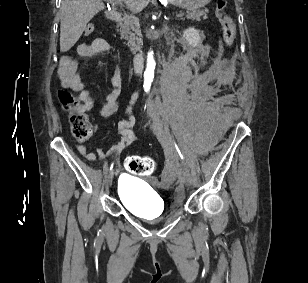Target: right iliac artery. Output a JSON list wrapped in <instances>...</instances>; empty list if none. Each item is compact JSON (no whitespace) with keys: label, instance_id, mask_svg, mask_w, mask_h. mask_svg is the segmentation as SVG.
<instances>
[{"label":"right iliac artery","instance_id":"right-iliac-artery-1","mask_svg":"<svg viewBox=\"0 0 308 283\" xmlns=\"http://www.w3.org/2000/svg\"><path fill=\"white\" fill-rule=\"evenodd\" d=\"M114 163L111 164L110 166V171L113 169Z\"/></svg>","mask_w":308,"mask_h":283}]
</instances>
